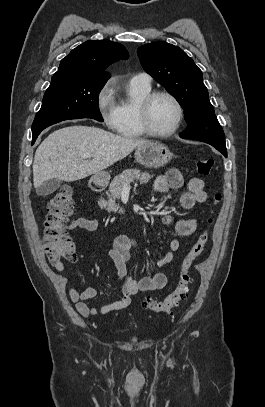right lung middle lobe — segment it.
<instances>
[{"label":"right lung middle lobe","instance_id":"dd1d6c3e","mask_svg":"<svg viewBox=\"0 0 265 407\" xmlns=\"http://www.w3.org/2000/svg\"><path fill=\"white\" fill-rule=\"evenodd\" d=\"M105 83L78 80L68 75L53 76L32 124L33 137L37 138L46 127L67 119L93 118L103 121L98 95Z\"/></svg>","mask_w":265,"mask_h":407}]
</instances>
